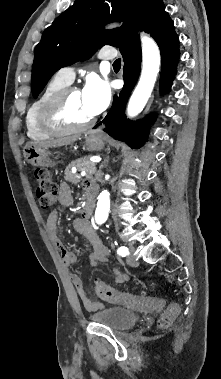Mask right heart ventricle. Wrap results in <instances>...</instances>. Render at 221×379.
Returning a JSON list of instances; mask_svg holds the SVG:
<instances>
[{
  "instance_id": "obj_1",
  "label": "right heart ventricle",
  "mask_w": 221,
  "mask_h": 379,
  "mask_svg": "<svg viewBox=\"0 0 221 379\" xmlns=\"http://www.w3.org/2000/svg\"><path fill=\"white\" fill-rule=\"evenodd\" d=\"M68 84L57 76L53 77L30 105L26 113V132L29 138L32 140H45L53 135L42 128L39 122V114L46 101L55 93L67 87Z\"/></svg>"
}]
</instances>
